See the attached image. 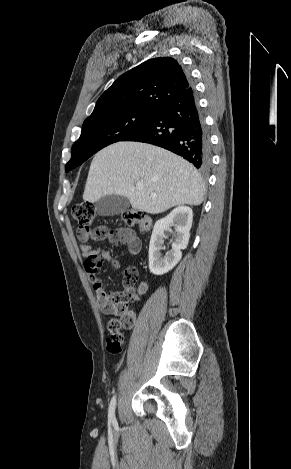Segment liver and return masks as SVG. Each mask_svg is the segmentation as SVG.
Segmentation results:
<instances>
[{"label": "liver", "mask_w": 291, "mask_h": 469, "mask_svg": "<svg viewBox=\"0 0 291 469\" xmlns=\"http://www.w3.org/2000/svg\"><path fill=\"white\" fill-rule=\"evenodd\" d=\"M137 184L143 189L137 190ZM205 190L199 172L183 158L150 144L120 141L94 156L83 199L93 203L121 195L133 209L158 214L174 206L200 205Z\"/></svg>", "instance_id": "1"}]
</instances>
